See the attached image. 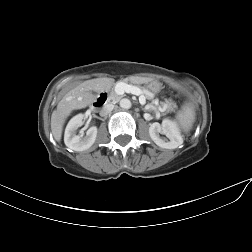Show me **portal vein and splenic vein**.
Listing matches in <instances>:
<instances>
[{
  "instance_id": "18ae733b",
  "label": "portal vein and splenic vein",
  "mask_w": 252,
  "mask_h": 252,
  "mask_svg": "<svg viewBox=\"0 0 252 252\" xmlns=\"http://www.w3.org/2000/svg\"><path fill=\"white\" fill-rule=\"evenodd\" d=\"M116 90L117 92L119 93H131V94H134V95H140L139 96V102L141 104H144L145 103V97L143 95H141V90L136 87V86H131V85H128V84H125V83H119L116 85Z\"/></svg>"
}]
</instances>
